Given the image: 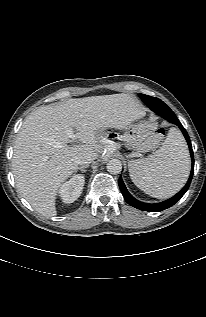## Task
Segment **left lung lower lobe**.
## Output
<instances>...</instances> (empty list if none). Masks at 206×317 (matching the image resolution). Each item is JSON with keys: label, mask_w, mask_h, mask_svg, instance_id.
I'll return each instance as SVG.
<instances>
[{"label": "left lung lower lobe", "mask_w": 206, "mask_h": 317, "mask_svg": "<svg viewBox=\"0 0 206 317\" xmlns=\"http://www.w3.org/2000/svg\"><path fill=\"white\" fill-rule=\"evenodd\" d=\"M149 104V108L154 111L156 114L164 117L166 120H168L171 123L176 124L177 126H179L180 130L182 131L188 146H189V151H190V155H191V160H192V169H191V173L189 176V179L186 183V185L182 188V190L180 192H178L175 196H173L172 198L160 202V203H155V204H149V203H143L141 201L136 200L127 190L122 178H119V187L121 190V193L124 197V199L126 200V202L143 211H149V212H159L162 210H165L171 206H173L176 202H178L181 197L186 193V191L189 188L190 182L192 180L193 177V173H194V155H193V150H192V146H191V142H190V138L188 136L187 131L183 128V126L181 125V123L179 122V120L177 119V117L175 116V114L173 113V111L169 108V107H164V106H160L159 104H156L152 101L148 102Z\"/></svg>", "instance_id": "1"}]
</instances>
